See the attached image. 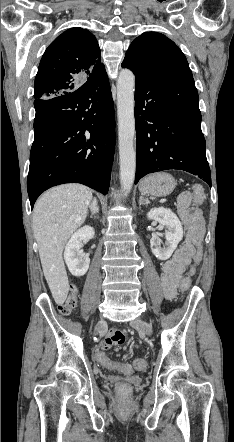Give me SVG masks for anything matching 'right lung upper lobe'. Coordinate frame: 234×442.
<instances>
[{
  "instance_id": "1",
  "label": "right lung upper lobe",
  "mask_w": 234,
  "mask_h": 442,
  "mask_svg": "<svg viewBox=\"0 0 234 442\" xmlns=\"http://www.w3.org/2000/svg\"><path fill=\"white\" fill-rule=\"evenodd\" d=\"M100 48L95 36L86 29L71 28L59 35L46 49L34 83L36 99L71 93L87 81L106 73L100 62Z\"/></svg>"
}]
</instances>
